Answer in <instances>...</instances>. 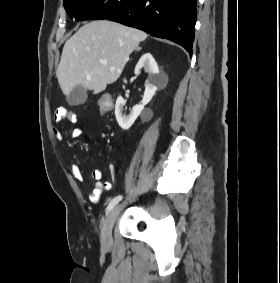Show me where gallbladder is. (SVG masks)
<instances>
[{"mask_svg":"<svg viewBox=\"0 0 280 283\" xmlns=\"http://www.w3.org/2000/svg\"><path fill=\"white\" fill-rule=\"evenodd\" d=\"M87 89L78 85L75 86L70 94L67 96V102L71 106H77L85 103L87 99Z\"/></svg>","mask_w":280,"mask_h":283,"instance_id":"obj_1","label":"gallbladder"}]
</instances>
